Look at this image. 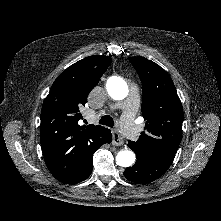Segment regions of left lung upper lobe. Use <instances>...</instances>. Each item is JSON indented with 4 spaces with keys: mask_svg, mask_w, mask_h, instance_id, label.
<instances>
[{
    "mask_svg": "<svg viewBox=\"0 0 221 221\" xmlns=\"http://www.w3.org/2000/svg\"><path fill=\"white\" fill-rule=\"evenodd\" d=\"M137 70L143 91L145 131L129 141L137 160L172 161L182 138L183 107L170 76L159 65L142 57L129 58Z\"/></svg>",
    "mask_w": 221,
    "mask_h": 221,
    "instance_id": "1",
    "label": "left lung upper lobe"
}]
</instances>
